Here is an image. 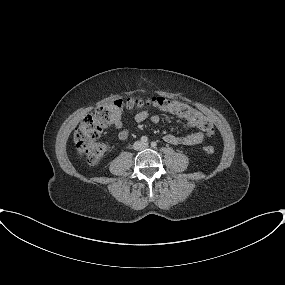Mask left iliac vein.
<instances>
[{"instance_id":"left-iliac-vein-1","label":"left iliac vein","mask_w":285,"mask_h":285,"mask_svg":"<svg viewBox=\"0 0 285 285\" xmlns=\"http://www.w3.org/2000/svg\"><path fill=\"white\" fill-rule=\"evenodd\" d=\"M149 147V144L148 143H144L143 144V148H148Z\"/></svg>"}]
</instances>
